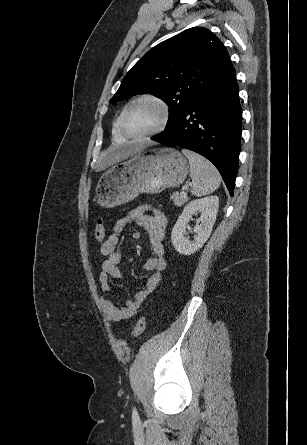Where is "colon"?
Here are the masks:
<instances>
[{"label":"colon","mask_w":307,"mask_h":445,"mask_svg":"<svg viewBox=\"0 0 307 445\" xmlns=\"http://www.w3.org/2000/svg\"><path fill=\"white\" fill-rule=\"evenodd\" d=\"M105 233H106V229H105L104 220L102 218H99L96 222L95 231H94L95 239L98 242H102L105 238ZM145 326H146L145 317L141 316L137 320V322L132 330L131 337L137 338L138 336H140L143 333Z\"/></svg>","instance_id":"1"}]
</instances>
